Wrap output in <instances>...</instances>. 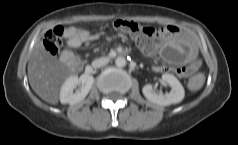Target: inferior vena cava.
Masks as SVG:
<instances>
[{"mask_svg":"<svg viewBox=\"0 0 238 145\" xmlns=\"http://www.w3.org/2000/svg\"><path fill=\"white\" fill-rule=\"evenodd\" d=\"M107 62H108L107 58L101 57V58L95 59L92 62V67L93 68H99V67H102V66L106 65Z\"/></svg>","mask_w":238,"mask_h":145,"instance_id":"1","label":"inferior vena cava"}]
</instances>
